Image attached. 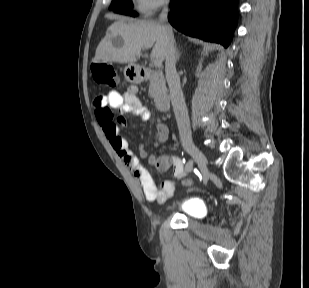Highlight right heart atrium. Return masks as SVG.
Listing matches in <instances>:
<instances>
[{
    "instance_id": "obj_1",
    "label": "right heart atrium",
    "mask_w": 309,
    "mask_h": 288,
    "mask_svg": "<svg viewBox=\"0 0 309 288\" xmlns=\"http://www.w3.org/2000/svg\"><path fill=\"white\" fill-rule=\"evenodd\" d=\"M136 8L143 14H152L162 7L168 6L170 0H134Z\"/></svg>"
}]
</instances>
